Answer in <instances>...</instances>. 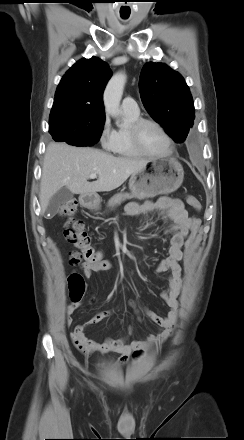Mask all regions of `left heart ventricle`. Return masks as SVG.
Masks as SVG:
<instances>
[{
  "label": "left heart ventricle",
  "instance_id": "1",
  "mask_svg": "<svg viewBox=\"0 0 244 440\" xmlns=\"http://www.w3.org/2000/svg\"><path fill=\"white\" fill-rule=\"evenodd\" d=\"M141 142L144 149L153 154H162L168 149L165 136L153 125H146L142 128Z\"/></svg>",
  "mask_w": 244,
  "mask_h": 440
}]
</instances>
